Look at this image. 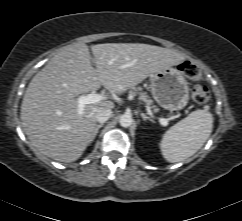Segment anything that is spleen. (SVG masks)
Here are the masks:
<instances>
[{"label":"spleen","instance_id":"1","mask_svg":"<svg viewBox=\"0 0 242 221\" xmlns=\"http://www.w3.org/2000/svg\"><path fill=\"white\" fill-rule=\"evenodd\" d=\"M213 128L210 112L196 110L168 129L160 142L163 157L171 163L194 155L207 141Z\"/></svg>","mask_w":242,"mask_h":221}]
</instances>
